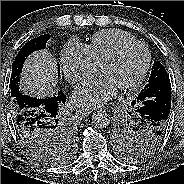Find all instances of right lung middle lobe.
Instances as JSON below:
<instances>
[{"mask_svg":"<svg viewBox=\"0 0 184 184\" xmlns=\"http://www.w3.org/2000/svg\"><path fill=\"white\" fill-rule=\"evenodd\" d=\"M49 38L50 35L45 34L31 39L18 52L12 65L10 79L11 96L20 91L19 80L24 61L32 52L44 49ZM45 134L47 135L45 137L47 141L45 142L22 141L29 152L43 163L56 164L63 161V157L66 155L65 152H69L67 150H72L74 147L75 132L62 112L54 114L48 119Z\"/></svg>","mask_w":184,"mask_h":184,"instance_id":"dd1d6c3e","label":"right lung middle lobe"}]
</instances>
